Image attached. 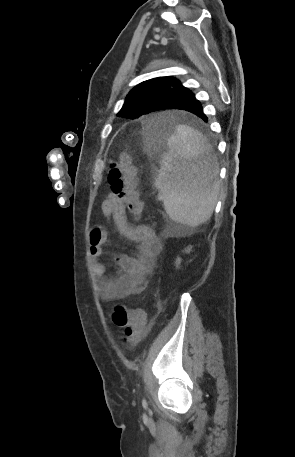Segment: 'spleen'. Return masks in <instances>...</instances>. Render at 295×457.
<instances>
[{
  "mask_svg": "<svg viewBox=\"0 0 295 457\" xmlns=\"http://www.w3.org/2000/svg\"><path fill=\"white\" fill-rule=\"evenodd\" d=\"M207 148L201 133L177 126L154 179L169 218L190 227L210 219L219 195L216 171L204 159Z\"/></svg>",
  "mask_w": 295,
  "mask_h": 457,
  "instance_id": "spleen-1",
  "label": "spleen"
}]
</instances>
